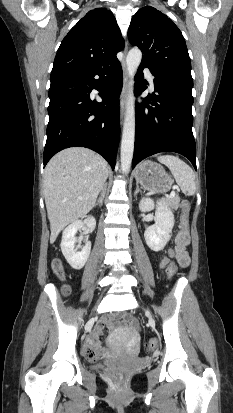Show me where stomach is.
<instances>
[{"label":"stomach","mask_w":233,"mask_h":413,"mask_svg":"<svg viewBox=\"0 0 233 413\" xmlns=\"http://www.w3.org/2000/svg\"><path fill=\"white\" fill-rule=\"evenodd\" d=\"M135 178L144 189L151 192H168L173 184L172 178L164 168L150 160L142 162L135 170Z\"/></svg>","instance_id":"obj_1"}]
</instances>
